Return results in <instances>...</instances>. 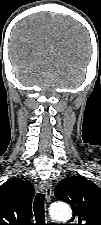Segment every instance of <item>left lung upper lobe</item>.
Segmentation results:
<instances>
[{
    "mask_svg": "<svg viewBox=\"0 0 101 225\" xmlns=\"http://www.w3.org/2000/svg\"><path fill=\"white\" fill-rule=\"evenodd\" d=\"M55 196L72 206L73 225H101V189L90 180L67 177L57 184Z\"/></svg>",
    "mask_w": 101,
    "mask_h": 225,
    "instance_id": "5c2ea615",
    "label": "left lung upper lobe"
}]
</instances>
